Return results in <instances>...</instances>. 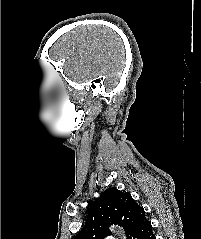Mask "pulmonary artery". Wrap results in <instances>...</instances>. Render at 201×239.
I'll use <instances>...</instances> for the list:
<instances>
[{
  "label": "pulmonary artery",
  "instance_id": "e3ab8cb5",
  "mask_svg": "<svg viewBox=\"0 0 201 239\" xmlns=\"http://www.w3.org/2000/svg\"><path fill=\"white\" fill-rule=\"evenodd\" d=\"M106 239H114V237H112V236H108Z\"/></svg>",
  "mask_w": 201,
  "mask_h": 239
}]
</instances>
